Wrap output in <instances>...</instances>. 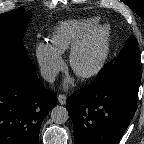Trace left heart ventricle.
I'll return each mask as SVG.
<instances>
[{"mask_svg":"<svg viewBox=\"0 0 144 144\" xmlns=\"http://www.w3.org/2000/svg\"><path fill=\"white\" fill-rule=\"evenodd\" d=\"M100 46L97 43L91 44L78 59V67L81 69L91 66L99 55Z\"/></svg>","mask_w":144,"mask_h":144,"instance_id":"b2bd125f","label":"left heart ventricle"}]
</instances>
